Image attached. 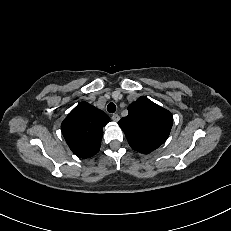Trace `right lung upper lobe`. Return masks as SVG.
Here are the masks:
<instances>
[{"label":"right lung upper lobe","instance_id":"cb5924a9","mask_svg":"<svg viewBox=\"0 0 231 231\" xmlns=\"http://www.w3.org/2000/svg\"><path fill=\"white\" fill-rule=\"evenodd\" d=\"M109 121L102 110L81 102L64 119L61 130L72 152L80 158H89L99 151L102 128Z\"/></svg>","mask_w":231,"mask_h":231}]
</instances>
